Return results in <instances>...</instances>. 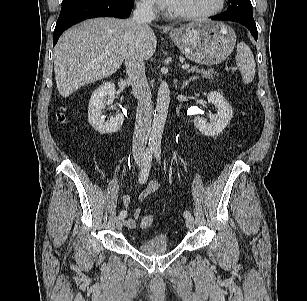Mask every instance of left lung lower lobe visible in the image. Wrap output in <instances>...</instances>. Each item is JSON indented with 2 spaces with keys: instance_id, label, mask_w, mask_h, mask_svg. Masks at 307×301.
Wrapping results in <instances>:
<instances>
[{
  "instance_id": "0a47b994",
  "label": "left lung lower lobe",
  "mask_w": 307,
  "mask_h": 301,
  "mask_svg": "<svg viewBox=\"0 0 307 301\" xmlns=\"http://www.w3.org/2000/svg\"><path fill=\"white\" fill-rule=\"evenodd\" d=\"M212 19L213 20L234 21V22L241 23L242 25H244L250 30L255 40H257L258 38V31H257V27H256V23L254 19L244 18V17L224 16L222 14L219 16L212 17Z\"/></svg>"
}]
</instances>
